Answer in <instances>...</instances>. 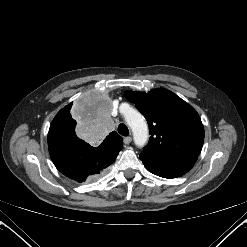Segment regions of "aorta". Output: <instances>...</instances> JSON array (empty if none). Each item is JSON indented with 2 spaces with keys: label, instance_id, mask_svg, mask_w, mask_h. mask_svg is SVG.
I'll list each match as a JSON object with an SVG mask.
<instances>
[{
  "label": "aorta",
  "instance_id": "aorta-1",
  "mask_svg": "<svg viewBox=\"0 0 247 247\" xmlns=\"http://www.w3.org/2000/svg\"><path fill=\"white\" fill-rule=\"evenodd\" d=\"M125 119L133 132V139L138 147H143L148 141V125L144 117L136 110L128 108Z\"/></svg>",
  "mask_w": 247,
  "mask_h": 247
}]
</instances>
